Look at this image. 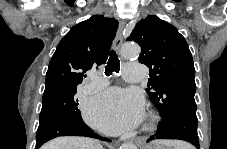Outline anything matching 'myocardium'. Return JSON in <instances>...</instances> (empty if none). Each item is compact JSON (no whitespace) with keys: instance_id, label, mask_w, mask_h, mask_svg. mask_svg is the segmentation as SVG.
<instances>
[{"instance_id":"1","label":"myocardium","mask_w":227,"mask_h":149,"mask_svg":"<svg viewBox=\"0 0 227 149\" xmlns=\"http://www.w3.org/2000/svg\"><path fill=\"white\" fill-rule=\"evenodd\" d=\"M157 121H158V116L154 112H151L149 115V120L145 125L146 130H151L155 126Z\"/></svg>"}]
</instances>
